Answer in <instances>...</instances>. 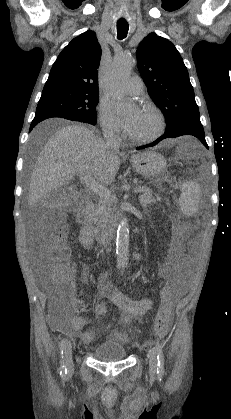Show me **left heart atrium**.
<instances>
[{
	"instance_id": "1",
	"label": "left heart atrium",
	"mask_w": 231,
	"mask_h": 419,
	"mask_svg": "<svg viewBox=\"0 0 231 419\" xmlns=\"http://www.w3.org/2000/svg\"><path fill=\"white\" fill-rule=\"evenodd\" d=\"M137 112H135L133 115H131L130 117H128L125 121V125L128 128V130L131 128V126L133 125V122L136 118Z\"/></svg>"
}]
</instances>
